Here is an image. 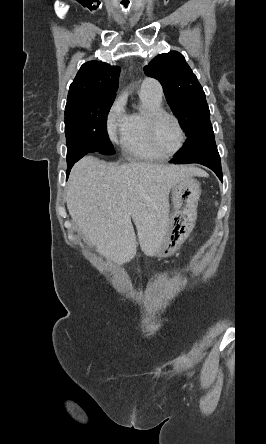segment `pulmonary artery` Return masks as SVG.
<instances>
[{
  "label": "pulmonary artery",
  "mask_w": 266,
  "mask_h": 444,
  "mask_svg": "<svg viewBox=\"0 0 266 444\" xmlns=\"http://www.w3.org/2000/svg\"><path fill=\"white\" fill-rule=\"evenodd\" d=\"M140 94L148 95L156 100L161 101L163 89L161 84L153 78H145L140 87Z\"/></svg>",
  "instance_id": "obj_1"
}]
</instances>
